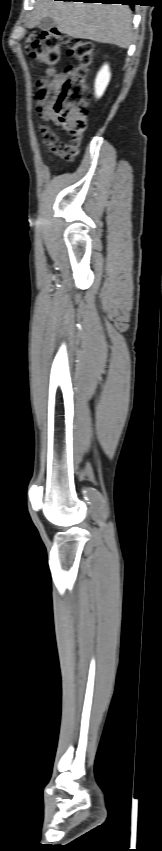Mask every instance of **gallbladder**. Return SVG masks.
Segmentation results:
<instances>
[{
  "label": "gallbladder",
  "instance_id": "obj_1",
  "mask_svg": "<svg viewBox=\"0 0 162 851\" xmlns=\"http://www.w3.org/2000/svg\"><path fill=\"white\" fill-rule=\"evenodd\" d=\"M54 26H55V21H54L51 17H45V18H43V19L39 22V24H38V27H39L41 30H44V31L50 30V29H52Z\"/></svg>",
  "mask_w": 162,
  "mask_h": 851
}]
</instances>
